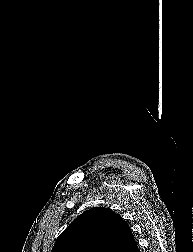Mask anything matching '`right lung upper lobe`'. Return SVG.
Instances as JSON below:
<instances>
[{"label": "right lung upper lobe", "instance_id": "cb5924a9", "mask_svg": "<svg viewBox=\"0 0 193 252\" xmlns=\"http://www.w3.org/2000/svg\"><path fill=\"white\" fill-rule=\"evenodd\" d=\"M136 248L124 219L109 208L93 207L60 234L51 252H134Z\"/></svg>", "mask_w": 193, "mask_h": 252}]
</instances>
